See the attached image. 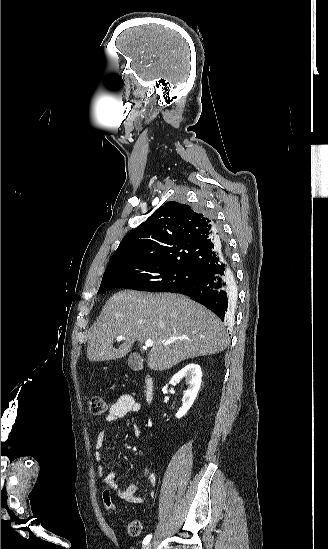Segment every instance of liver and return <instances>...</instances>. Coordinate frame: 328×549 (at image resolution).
<instances>
[{
    "instance_id": "1",
    "label": "liver",
    "mask_w": 328,
    "mask_h": 549,
    "mask_svg": "<svg viewBox=\"0 0 328 549\" xmlns=\"http://www.w3.org/2000/svg\"><path fill=\"white\" fill-rule=\"evenodd\" d=\"M120 335L125 339L114 349L113 341ZM171 337L182 339L163 345ZM149 339L154 343L147 361L152 371H167L186 359L221 353L229 343L222 321L185 295L119 291L106 301L88 331L87 359H122L136 341Z\"/></svg>"
}]
</instances>
